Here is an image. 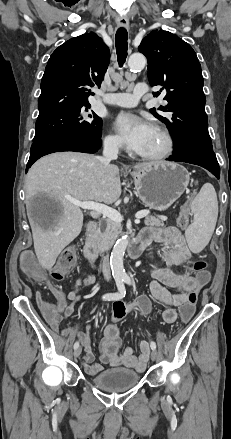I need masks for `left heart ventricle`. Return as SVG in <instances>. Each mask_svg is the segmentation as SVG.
Instances as JSON below:
<instances>
[{
    "mask_svg": "<svg viewBox=\"0 0 231 439\" xmlns=\"http://www.w3.org/2000/svg\"><path fill=\"white\" fill-rule=\"evenodd\" d=\"M165 147V140L161 133L153 129L152 133L150 134L148 140L142 147L141 151L139 153L141 154H156L161 152Z\"/></svg>",
    "mask_w": 231,
    "mask_h": 439,
    "instance_id": "left-heart-ventricle-1",
    "label": "left heart ventricle"
}]
</instances>
